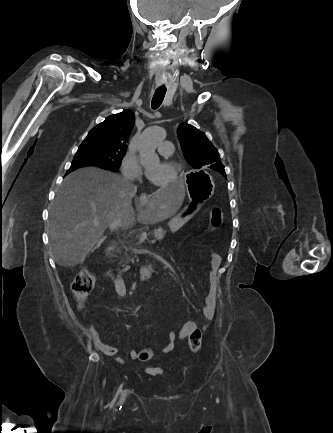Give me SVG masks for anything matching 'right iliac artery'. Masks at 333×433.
Here are the masks:
<instances>
[{
  "instance_id": "82829eb1",
  "label": "right iliac artery",
  "mask_w": 333,
  "mask_h": 433,
  "mask_svg": "<svg viewBox=\"0 0 333 433\" xmlns=\"http://www.w3.org/2000/svg\"><path fill=\"white\" fill-rule=\"evenodd\" d=\"M122 387H123V384L120 386L119 391L122 390ZM126 396H127V390H124L123 393H122V395H121L120 401H119V404H120V405H122V404L124 403V401H125V399H126ZM121 407H122V406H121ZM121 407H120V408H121Z\"/></svg>"
}]
</instances>
